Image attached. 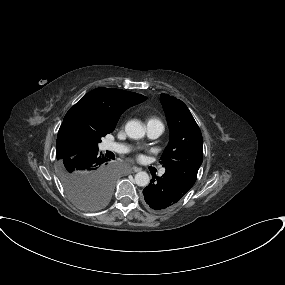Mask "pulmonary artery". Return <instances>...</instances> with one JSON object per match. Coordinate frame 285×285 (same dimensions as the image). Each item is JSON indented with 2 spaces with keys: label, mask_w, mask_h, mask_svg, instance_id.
<instances>
[{
  "label": "pulmonary artery",
  "mask_w": 285,
  "mask_h": 285,
  "mask_svg": "<svg viewBox=\"0 0 285 285\" xmlns=\"http://www.w3.org/2000/svg\"><path fill=\"white\" fill-rule=\"evenodd\" d=\"M164 131V126L158 123H148L147 124V132L148 136L152 139L158 138ZM105 150L114 151L117 153H126L128 152V146L116 142L107 141L103 145ZM160 175L165 173L164 169L160 170Z\"/></svg>",
  "instance_id": "1"
}]
</instances>
